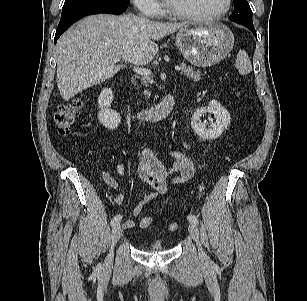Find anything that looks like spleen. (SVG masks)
<instances>
[{
	"mask_svg": "<svg viewBox=\"0 0 307 301\" xmlns=\"http://www.w3.org/2000/svg\"><path fill=\"white\" fill-rule=\"evenodd\" d=\"M236 68L238 69L239 73L242 75L248 74L252 70L251 61L244 50H239L237 54V59L235 63Z\"/></svg>",
	"mask_w": 307,
	"mask_h": 301,
	"instance_id": "3e777b00",
	"label": "spleen"
}]
</instances>
